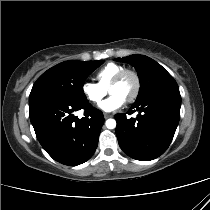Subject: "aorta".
Returning <instances> with one entry per match:
<instances>
[{
  "label": "aorta",
  "mask_w": 210,
  "mask_h": 210,
  "mask_svg": "<svg viewBox=\"0 0 210 210\" xmlns=\"http://www.w3.org/2000/svg\"><path fill=\"white\" fill-rule=\"evenodd\" d=\"M106 127L108 129H114L116 127V121L114 119H108L106 121Z\"/></svg>",
  "instance_id": "aorta-1"
}]
</instances>
